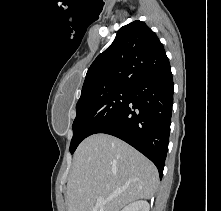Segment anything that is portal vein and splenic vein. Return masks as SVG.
Returning <instances> with one entry per match:
<instances>
[{
    "label": "portal vein and splenic vein",
    "mask_w": 221,
    "mask_h": 211,
    "mask_svg": "<svg viewBox=\"0 0 221 211\" xmlns=\"http://www.w3.org/2000/svg\"><path fill=\"white\" fill-rule=\"evenodd\" d=\"M112 198H113V196H111V197H109L107 199H105L104 197H98L97 198V205L101 206V205L105 204L107 201L112 200Z\"/></svg>",
    "instance_id": "1"
}]
</instances>
